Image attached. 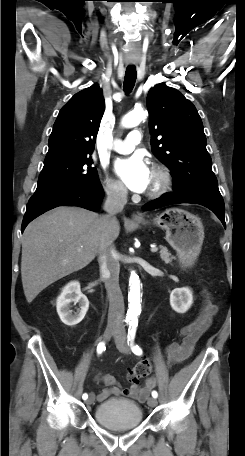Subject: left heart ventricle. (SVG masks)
Masks as SVG:
<instances>
[{
	"mask_svg": "<svg viewBox=\"0 0 245 456\" xmlns=\"http://www.w3.org/2000/svg\"><path fill=\"white\" fill-rule=\"evenodd\" d=\"M157 182H158V177L152 171H150L148 188L155 186L157 184Z\"/></svg>",
	"mask_w": 245,
	"mask_h": 456,
	"instance_id": "obj_1",
	"label": "left heart ventricle"
}]
</instances>
